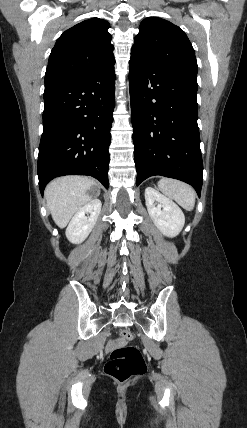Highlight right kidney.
<instances>
[{
	"mask_svg": "<svg viewBox=\"0 0 247 428\" xmlns=\"http://www.w3.org/2000/svg\"><path fill=\"white\" fill-rule=\"evenodd\" d=\"M101 207V201L93 199L76 212L66 229V237L71 243L80 244L88 237L96 224Z\"/></svg>",
	"mask_w": 247,
	"mask_h": 428,
	"instance_id": "ca27d5eb",
	"label": "right kidney"
}]
</instances>
